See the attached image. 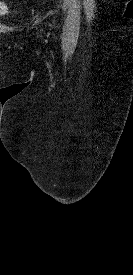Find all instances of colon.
<instances>
[{"label": "colon", "mask_w": 133, "mask_h": 275, "mask_svg": "<svg viewBox=\"0 0 133 275\" xmlns=\"http://www.w3.org/2000/svg\"><path fill=\"white\" fill-rule=\"evenodd\" d=\"M8 12H9V7L3 1H0V15H5Z\"/></svg>", "instance_id": "colon-1"}]
</instances>
